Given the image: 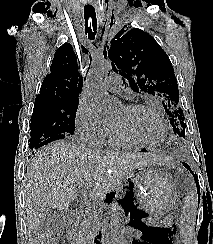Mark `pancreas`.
Here are the masks:
<instances>
[{
  "label": "pancreas",
  "mask_w": 213,
  "mask_h": 244,
  "mask_svg": "<svg viewBox=\"0 0 213 244\" xmlns=\"http://www.w3.org/2000/svg\"><path fill=\"white\" fill-rule=\"evenodd\" d=\"M96 232L95 221L87 218L85 219L79 229L80 240L84 241V244H90L93 235Z\"/></svg>",
  "instance_id": "obj_1"
}]
</instances>
